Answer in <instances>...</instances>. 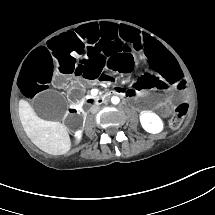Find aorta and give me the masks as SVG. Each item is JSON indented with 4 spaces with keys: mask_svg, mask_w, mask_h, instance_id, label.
<instances>
[{
    "mask_svg": "<svg viewBox=\"0 0 215 215\" xmlns=\"http://www.w3.org/2000/svg\"><path fill=\"white\" fill-rule=\"evenodd\" d=\"M112 104L117 105L120 102V98L117 96H113L111 99Z\"/></svg>",
    "mask_w": 215,
    "mask_h": 215,
    "instance_id": "obj_1",
    "label": "aorta"
}]
</instances>
